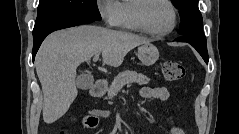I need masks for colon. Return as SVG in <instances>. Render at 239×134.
I'll return each mask as SVG.
<instances>
[{
	"instance_id": "colon-1",
	"label": "colon",
	"mask_w": 239,
	"mask_h": 134,
	"mask_svg": "<svg viewBox=\"0 0 239 134\" xmlns=\"http://www.w3.org/2000/svg\"><path fill=\"white\" fill-rule=\"evenodd\" d=\"M162 74L168 81H178L185 77V67L177 61H167L162 66ZM83 123L87 127H94L97 119L93 116H88L83 119Z\"/></svg>"
}]
</instances>
